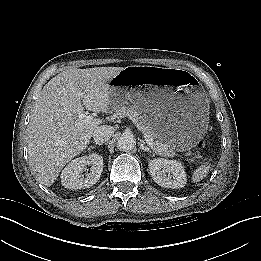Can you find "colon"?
I'll return each instance as SVG.
<instances>
[{"mask_svg":"<svg viewBox=\"0 0 261 261\" xmlns=\"http://www.w3.org/2000/svg\"><path fill=\"white\" fill-rule=\"evenodd\" d=\"M201 146V143H198L197 147L199 148ZM196 156H198V152L196 153Z\"/></svg>","mask_w":261,"mask_h":261,"instance_id":"colon-1","label":"colon"}]
</instances>
